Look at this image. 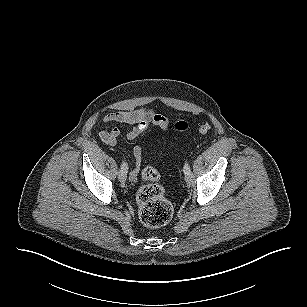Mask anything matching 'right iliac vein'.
I'll return each mask as SVG.
<instances>
[{"instance_id":"63e3f726","label":"right iliac vein","mask_w":307,"mask_h":307,"mask_svg":"<svg viewBox=\"0 0 307 307\" xmlns=\"http://www.w3.org/2000/svg\"><path fill=\"white\" fill-rule=\"evenodd\" d=\"M118 178L121 182H125L126 181V178H127V175H126V172L122 171V170H119L118 172Z\"/></svg>"}]
</instances>
